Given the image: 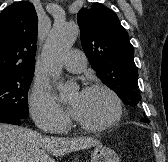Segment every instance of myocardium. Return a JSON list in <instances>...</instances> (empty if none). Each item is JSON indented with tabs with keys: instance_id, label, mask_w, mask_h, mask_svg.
<instances>
[{
	"instance_id": "f54148a6",
	"label": "myocardium",
	"mask_w": 168,
	"mask_h": 162,
	"mask_svg": "<svg viewBox=\"0 0 168 162\" xmlns=\"http://www.w3.org/2000/svg\"><path fill=\"white\" fill-rule=\"evenodd\" d=\"M92 91H103L110 96L114 104L113 115L110 117L109 120H107L106 122L102 124H98V125H91V124L83 123L82 121L78 120L76 117L74 119H75L76 124L85 131L102 132V131L110 129L111 127H113L119 122V120L121 119L122 113H123V104H122V100L119 97V95L111 87L105 84H93L84 89V92H92Z\"/></svg>"
}]
</instances>
